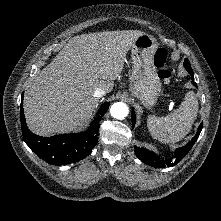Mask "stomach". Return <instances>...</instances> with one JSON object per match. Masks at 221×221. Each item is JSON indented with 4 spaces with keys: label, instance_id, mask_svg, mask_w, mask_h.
Wrapping results in <instances>:
<instances>
[{
    "label": "stomach",
    "instance_id": "0dacf381",
    "mask_svg": "<svg viewBox=\"0 0 221 221\" xmlns=\"http://www.w3.org/2000/svg\"><path fill=\"white\" fill-rule=\"evenodd\" d=\"M158 48L156 39L143 33L132 48V75L129 91L137 97L146 108H152L161 92V81L154 65V56Z\"/></svg>",
    "mask_w": 221,
    "mask_h": 221
}]
</instances>
